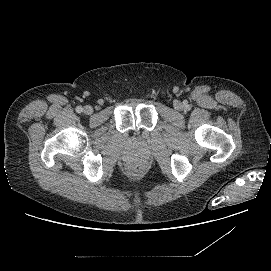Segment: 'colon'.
<instances>
[{"instance_id":"obj_1","label":"colon","mask_w":271,"mask_h":271,"mask_svg":"<svg viewBox=\"0 0 271 271\" xmlns=\"http://www.w3.org/2000/svg\"><path fill=\"white\" fill-rule=\"evenodd\" d=\"M127 170L131 176H138L142 173L143 168L141 165L133 163L128 166Z\"/></svg>"}]
</instances>
